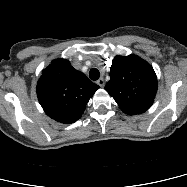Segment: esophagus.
<instances>
[{"mask_svg": "<svg viewBox=\"0 0 187 187\" xmlns=\"http://www.w3.org/2000/svg\"><path fill=\"white\" fill-rule=\"evenodd\" d=\"M97 84L100 86V87H104L105 86V81L103 78H100L98 81H97Z\"/></svg>", "mask_w": 187, "mask_h": 187, "instance_id": "esophagus-1", "label": "esophagus"}]
</instances>
